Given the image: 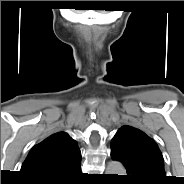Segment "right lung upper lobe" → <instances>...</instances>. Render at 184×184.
<instances>
[{"instance_id":"1","label":"right lung upper lobe","mask_w":184,"mask_h":184,"mask_svg":"<svg viewBox=\"0 0 184 184\" xmlns=\"http://www.w3.org/2000/svg\"><path fill=\"white\" fill-rule=\"evenodd\" d=\"M80 161L76 141L67 133L58 132L31 149L21 172L32 181L56 180Z\"/></svg>"}]
</instances>
